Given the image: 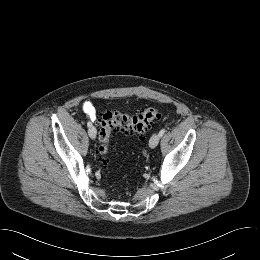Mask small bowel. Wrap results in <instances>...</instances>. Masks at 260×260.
<instances>
[{"label":"small bowel","instance_id":"obj_1","mask_svg":"<svg viewBox=\"0 0 260 260\" xmlns=\"http://www.w3.org/2000/svg\"><path fill=\"white\" fill-rule=\"evenodd\" d=\"M83 112L91 119L95 120L97 117V111L93 103L90 100H87L82 105Z\"/></svg>","mask_w":260,"mask_h":260}]
</instances>
